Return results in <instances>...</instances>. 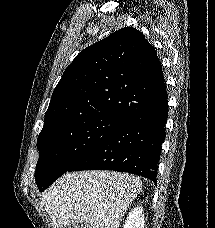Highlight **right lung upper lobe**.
I'll return each mask as SVG.
<instances>
[{"label":"right lung upper lobe","instance_id":"cb5924a9","mask_svg":"<svg viewBox=\"0 0 215 228\" xmlns=\"http://www.w3.org/2000/svg\"><path fill=\"white\" fill-rule=\"evenodd\" d=\"M166 98L154 47L125 27L84 49L66 68L41 133L99 115L127 119Z\"/></svg>","mask_w":215,"mask_h":228}]
</instances>
